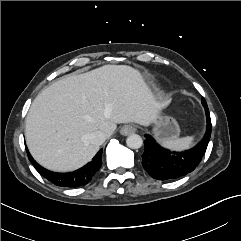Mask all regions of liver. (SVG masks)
I'll list each match as a JSON object with an SVG mask.
<instances>
[{"label":"liver","mask_w":241,"mask_h":241,"mask_svg":"<svg viewBox=\"0 0 241 241\" xmlns=\"http://www.w3.org/2000/svg\"><path fill=\"white\" fill-rule=\"evenodd\" d=\"M163 105L158 103L141 73L126 65H105L60 78L32 102L25 136L33 158L56 172L76 170L99 150L89 134L110 137L116 124L149 126Z\"/></svg>","instance_id":"liver-1"}]
</instances>
